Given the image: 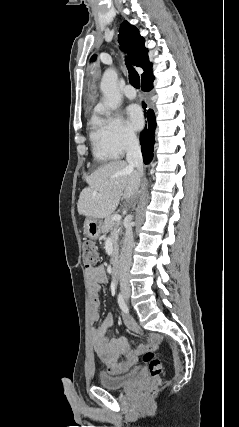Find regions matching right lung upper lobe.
<instances>
[{
	"label": "right lung upper lobe",
	"mask_w": 239,
	"mask_h": 427,
	"mask_svg": "<svg viewBox=\"0 0 239 427\" xmlns=\"http://www.w3.org/2000/svg\"><path fill=\"white\" fill-rule=\"evenodd\" d=\"M119 42L126 49L134 65L142 67L145 71L142 79L152 75V64L149 62L148 50L145 48V40L139 34L138 29L128 21L121 24L119 30ZM95 57H92L94 60Z\"/></svg>",
	"instance_id": "1"
}]
</instances>
